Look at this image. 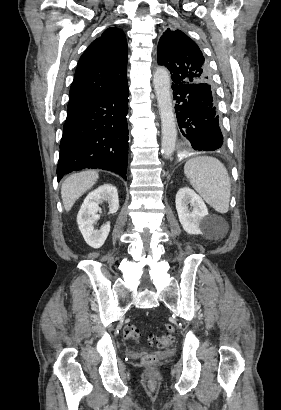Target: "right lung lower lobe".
I'll use <instances>...</instances> for the list:
<instances>
[{
    "label": "right lung lower lobe",
    "instance_id": "98d812e1",
    "mask_svg": "<svg viewBox=\"0 0 281 410\" xmlns=\"http://www.w3.org/2000/svg\"><path fill=\"white\" fill-rule=\"evenodd\" d=\"M128 85L68 109L60 143L58 181L85 168L113 171L126 179Z\"/></svg>",
    "mask_w": 281,
    "mask_h": 410
}]
</instances>
